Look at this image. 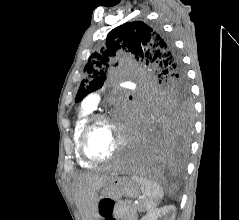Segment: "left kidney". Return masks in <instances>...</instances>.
Instances as JSON below:
<instances>
[{
	"mask_svg": "<svg viewBox=\"0 0 239 220\" xmlns=\"http://www.w3.org/2000/svg\"><path fill=\"white\" fill-rule=\"evenodd\" d=\"M176 207L173 205L164 206L159 209H151L141 220H175Z\"/></svg>",
	"mask_w": 239,
	"mask_h": 220,
	"instance_id": "5707ae66",
	"label": "left kidney"
}]
</instances>
